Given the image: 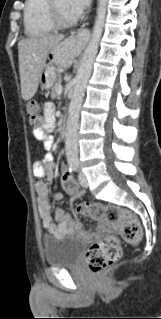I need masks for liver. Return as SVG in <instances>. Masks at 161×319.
<instances>
[{
    "mask_svg": "<svg viewBox=\"0 0 161 319\" xmlns=\"http://www.w3.org/2000/svg\"><path fill=\"white\" fill-rule=\"evenodd\" d=\"M63 39L64 35H42L19 41V72L23 100H30L35 95L48 53L51 48L58 45ZM74 55L75 51L71 56V62Z\"/></svg>",
    "mask_w": 161,
    "mask_h": 319,
    "instance_id": "6515ba94",
    "label": "liver"
}]
</instances>
